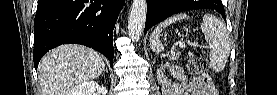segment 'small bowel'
Listing matches in <instances>:
<instances>
[{"mask_svg":"<svg viewBox=\"0 0 277 95\" xmlns=\"http://www.w3.org/2000/svg\"><path fill=\"white\" fill-rule=\"evenodd\" d=\"M177 77L184 82L182 85V90L185 91L182 93L184 95H214L212 93L213 84L205 75L190 76L185 71H180ZM172 94L168 93V95Z\"/></svg>","mask_w":277,"mask_h":95,"instance_id":"obj_1","label":"small bowel"}]
</instances>
